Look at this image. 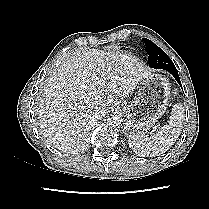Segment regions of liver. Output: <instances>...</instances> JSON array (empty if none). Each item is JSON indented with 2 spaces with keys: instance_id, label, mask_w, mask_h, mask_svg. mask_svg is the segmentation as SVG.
<instances>
[{
  "instance_id": "6515ba94",
  "label": "liver",
  "mask_w": 209,
  "mask_h": 209,
  "mask_svg": "<svg viewBox=\"0 0 209 209\" xmlns=\"http://www.w3.org/2000/svg\"><path fill=\"white\" fill-rule=\"evenodd\" d=\"M149 73L131 56L96 49L64 62L43 89L38 112L44 137L62 152L85 151L92 120L129 96Z\"/></svg>"
}]
</instances>
